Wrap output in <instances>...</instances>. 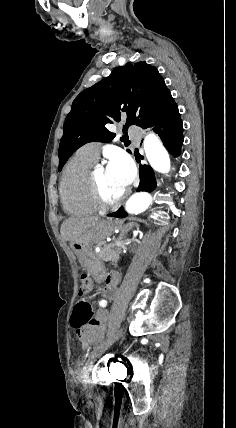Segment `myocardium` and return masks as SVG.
Here are the masks:
<instances>
[{"mask_svg": "<svg viewBox=\"0 0 236 428\" xmlns=\"http://www.w3.org/2000/svg\"><path fill=\"white\" fill-rule=\"evenodd\" d=\"M98 172L99 170L90 174V193L95 204L100 208H112L123 204L128 198L130 189L127 188L126 191L117 199L112 200L107 198L102 191Z\"/></svg>", "mask_w": 236, "mask_h": 428, "instance_id": "f54148a6", "label": "myocardium"}]
</instances>
